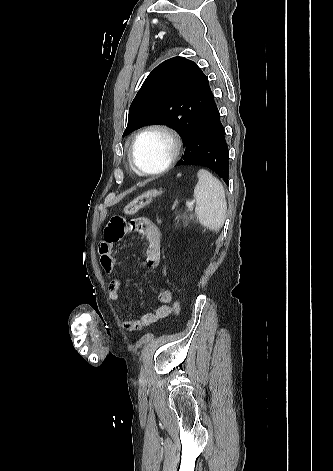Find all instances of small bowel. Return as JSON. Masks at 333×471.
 Segmentation results:
<instances>
[{
	"label": "small bowel",
	"instance_id": "obj_1",
	"mask_svg": "<svg viewBox=\"0 0 333 471\" xmlns=\"http://www.w3.org/2000/svg\"><path fill=\"white\" fill-rule=\"evenodd\" d=\"M128 232L138 233L145 242V265L149 268H156L161 261V233L156 225L147 218L139 217L130 223L120 215L112 216L105 228L104 239L99 244L100 263L107 274L114 272L116 268V245ZM122 287V280L114 278L108 285V296L113 304H120L119 291ZM173 300L172 292L162 290L158 294L159 305L152 311L144 314L139 319L125 318L123 327L128 333L142 330L156 322L168 317L172 313L170 306Z\"/></svg>",
	"mask_w": 333,
	"mask_h": 471
}]
</instances>
